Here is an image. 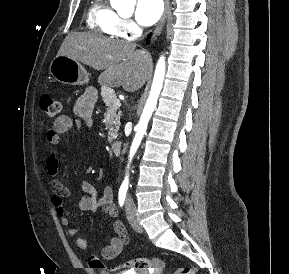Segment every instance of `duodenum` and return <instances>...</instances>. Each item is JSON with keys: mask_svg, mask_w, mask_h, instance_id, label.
<instances>
[{"mask_svg": "<svg viewBox=\"0 0 289 274\" xmlns=\"http://www.w3.org/2000/svg\"><path fill=\"white\" fill-rule=\"evenodd\" d=\"M112 150L115 154H119L121 152L122 149V143L121 141H113L111 144Z\"/></svg>", "mask_w": 289, "mask_h": 274, "instance_id": "duodenum-1", "label": "duodenum"}]
</instances>
